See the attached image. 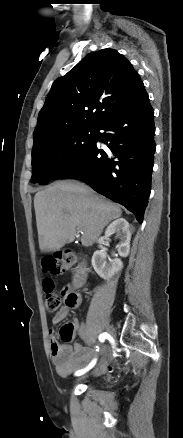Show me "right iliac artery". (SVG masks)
<instances>
[{
	"label": "right iliac artery",
	"mask_w": 183,
	"mask_h": 438,
	"mask_svg": "<svg viewBox=\"0 0 183 438\" xmlns=\"http://www.w3.org/2000/svg\"><path fill=\"white\" fill-rule=\"evenodd\" d=\"M110 337H111V336H110L108 333L105 332V333H102V334L99 335V340H100L101 342H104L105 339H108V338H110ZM96 361H97V359L95 358V359H93V360L90 362V364H89L86 368L76 371V372H75V376H81V375H83L84 373H86L87 371H89L90 369H92V368L94 367V365L96 364Z\"/></svg>",
	"instance_id": "82829eb1"
}]
</instances>
